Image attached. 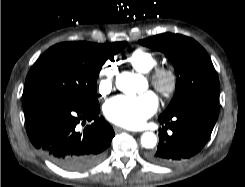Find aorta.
<instances>
[{"label":"aorta","mask_w":245,"mask_h":187,"mask_svg":"<svg viewBox=\"0 0 245 187\" xmlns=\"http://www.w3.org/2000/svg\"><path fill=\"white\" fill-rule=\"evenodd\" d=\"M139 82V76L129 73L123 72L118 74L116 77V87L123 91L124 93H134L135 86ZM157 143V137L152 132H145L141 137V144L145 148H154Z\"/></svg>","instance_id":"aorta-1"}]
</instances>
